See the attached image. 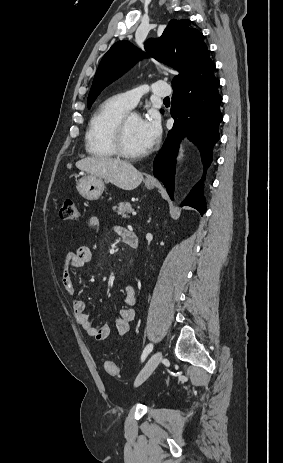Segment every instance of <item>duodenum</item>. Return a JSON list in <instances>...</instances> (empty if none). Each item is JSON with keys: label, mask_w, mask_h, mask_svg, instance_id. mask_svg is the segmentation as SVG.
Segmentation results:
<instances>
[{"label": "duodenum", "mask_w": 283, "mask_h": 463, "mask_svg": "<svg viewBox=\"0 0 283 463\" xmlns=\"http://www.w3.org/2000/svg\"><path fill=\"white\" fill-rule=\"evenodd\" d=\"M124 241L131 248L135 249L138 247L139 239H138V236L133 232H127L124 236Z\"/></svg>", "instance_id": "410a0bca"}]
</instances>
